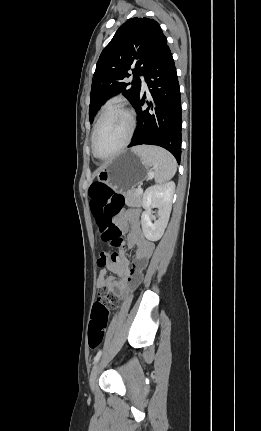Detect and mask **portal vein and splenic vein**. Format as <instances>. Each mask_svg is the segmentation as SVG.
<instances>
[{"label": "portal vein and splenic vein", "mask_w": 261, "mask_h": 431, "mask_svg": "<svg viewBox=\"0 0 261 431\" xmlns=\"http://www.w3.org/2000/svg\"><path fill=\"white\" fill-rule=\"evenodd\" d=\"M152 175H153V174H151L150 176H152ZM137 192H138V193H142V192H143V189L141 188V186H139V187H138Z\"/></svg>", "instance_id": "1"}]
</instances>
